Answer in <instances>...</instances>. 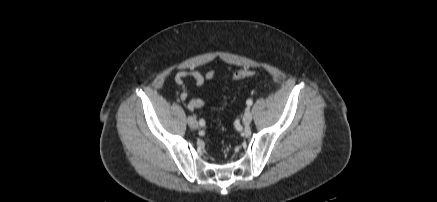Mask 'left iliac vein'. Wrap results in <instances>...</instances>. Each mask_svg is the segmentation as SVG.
Here are the masks:
<instances>
[{
    "mask_svg": "<svg viewBox=\"0 0 437 202\" xmlns=\"http://www.w3.org/2000/svg\"><path fill=\"white\" fill-rule=\"evenodd\" d=\"M252 121V113L250 111H246L243 115V123L244 125H249Z\"/></svg>",
    "mask_w": 437,
    "mask_h": 202,
    "instance_id": "left-iliac-vein-1",
    "label": "left iliac vein"
}]
</instances>
